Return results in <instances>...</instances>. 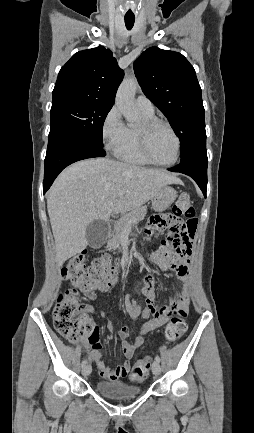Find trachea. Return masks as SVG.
<instances>
[{"label":"trachea","mask_w":254,"mask_h":433,"mask_svg":"<svg viewBox=\"0 0 254 433\" xmlns=\"http://www.w3.org/2000/svg\"><path fill=\"white\" fill-rule=\"evenodd\" d=\"M135 22V18H125V25L128 30H131Z\"/></svg>","instance_id":"3493384b"}]
</instances>
